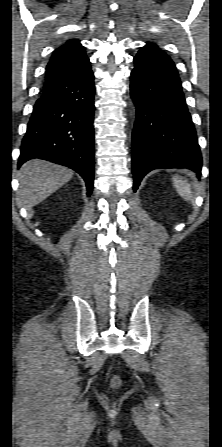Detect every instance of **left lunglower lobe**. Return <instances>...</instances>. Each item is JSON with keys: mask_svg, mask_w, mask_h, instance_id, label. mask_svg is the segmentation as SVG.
<instances>
[{"mask_svg": "<svg viewBox=\"0 0 222 447\" xmlns=\"http://www.w3.org/2000/svg\"><path fill=\"white\" fill-rule=\"evenodd\" d=\"M130 91L136 106L132 133L134 191L154 169L188 168L200 175L202 158L174 62L147 43L134 57Z\"/></svg>", "mask_w": 222, "mask_h": 447, "instance_id": "1", "label": "left lung lower lobe"}]
</instances>
